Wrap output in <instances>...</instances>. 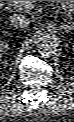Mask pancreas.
<instances>
[{
    "label": "pancreas",
    "mask_w": 74,
    "mask_h": 122,
    "mask_svg": "<svg viewBox=\"0 0 74 122\" xmlns=\"http://www.w3.org/2000/svg\"><path fill=\"white\" fill-rule=\"evenodd\" d=\"M36 1H10L11 5L18 10H30L34 7ZM65 9H68V13L71 14L70 6L63 5Z\"/></svg>",
    "instance_id": "1"
}]
</instances>
